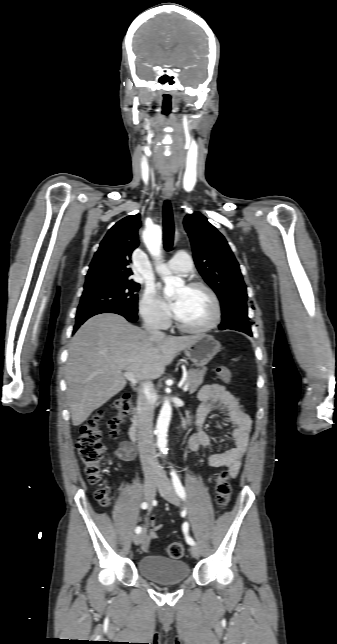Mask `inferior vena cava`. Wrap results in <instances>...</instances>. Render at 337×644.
Instances as JSON below:
<instances>
[{"label": "inferior vena cava", "mask_w": 337, "mask_h": 644, "mask_svg": "<svg viewBox=\"0 0 337 644\" xmlns=\"http://www.w3.org/2000/svg\"><path fill=\"white\" fill-rule=\"evenodd\" d=\"M144 328L154 337L163 338L165 335L159 331L149 320L144 321ZM138 448L140 459L145 474H162L163 471L156 460V450L153 440V384L146 382L138 392Z\"/></svg>", "instance_id": "1"}]
</instances>
